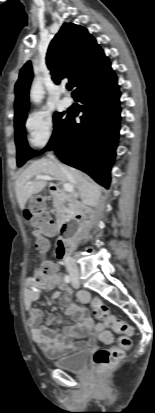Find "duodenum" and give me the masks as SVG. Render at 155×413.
<instances>
[{"instance_id": "410a0bca", "label": "duodenum", "mask_w": 155, "mask_h": 413, "mask_svg": "<svg viewBox=\"0 0 155 413\" xmlns=\"http://www.w3.org/2000/svg\"><path fill=\"white\" fill-rule=\"evenodd\" d=\"M50 192L64 201H69L64 194L59 190L58 187L52 186L50 188ZM84 217L82 212L78 208H74L70 210V216L67 220L63 222L60 226L58 239L55 245V253L58 259H65L70 247V240L73 233V226L74 224H81Z\"/></svg>"}]
</instances>
